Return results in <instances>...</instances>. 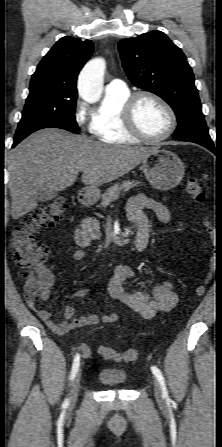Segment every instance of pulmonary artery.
Instances as JSON below:
<instances>
[{"label": "pulmonary artery", "instance_id": "obj_1", "mask_svg": "<svg viewBox=\"0 0 222 447\" xmlns=\"http://www.w3.org/2000/svg\"><path fill=\"white\" fill-rule=\"evenodd\" d=\"M127 89L126 84L121 79H113L106 85L108 92H122Z\"/></svg>", "mask_w": 222, "mask_h": 447}]
</instances>
